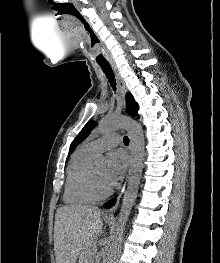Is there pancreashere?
<instances>
[{
    "label": "pancreas",
    "instance_id": "cf45deb5",
    "mask_svg": "<svg viewBox=\"0 0 220 263\" xmlns=\"http://www.w3.org/2000/svg\"><path fill=\"white\" fill-rule=\"evenodd\" d=\"M94 248H95V246H93V248H92V250H91V252H90V253H93V251H94Z\"/></svg>",
    "mask_w": 220,
    "mask_h": 263
}]
</instances>
